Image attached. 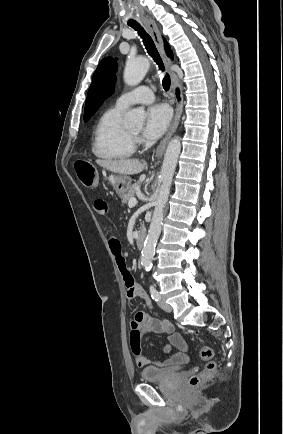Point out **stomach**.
<instances>
[{"label": "stomach", "instance_id": "obj_1", "mask_svg": "<svg viewBox=\"0 0 283 434\" xmlns=\"http://www.w3.org/2000/svg\"><path fill=\"white\" fill-rule=\"evenodd\" d=\"M107 179L120 198L124 197L131 187V178L127 175L110 174Z\"/></svg>", "mask_w": 283, "mask_h": 434}]
</instances>
